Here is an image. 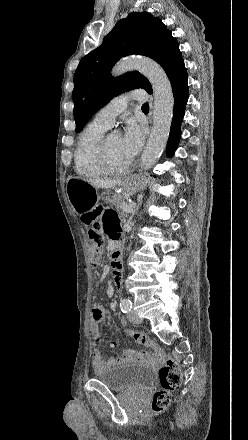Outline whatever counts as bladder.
Listing matches in <instances>:
<instances>
[{
  "label": "bladder",
  "instance_id": "bladder-1",
  "mask_svg": "<svg viewBox=\"0 0 248 440\" xmlns=\"http://www.w3.org/2000/svg\"><path fill=\"white\" fill-rule=\"evenodd\" d=\"M96 378L116 391H145L153 382V371L142 365L121 363L96 373Z\"/></svg>",
  "mask_w": 248,
  "mask_h": 440
}]
</instances>
